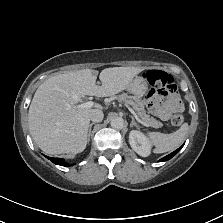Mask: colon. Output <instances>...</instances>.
Returning a JSON list of instances; mask_svg holds the SVG:
<instances>
[{
	"label": "colon",
	"mask_w": 223,
	"mask_h": 223,
	"mask_svg": "<svg viewBox=\"0 0 223 223\" xmlns=\"http://www.w3.org/2000/svg\"><path fill=\"white\" fill-rule=\"evenodd\" d=\"M144 78L152 85L165 87L170 91H176V85L171 75L160 70H149L144 73ZM184 123V116L176 113L172 117V124L180 126Z\"/></svg>",
	"instance_id": "colon-1"
}]
</instances>
